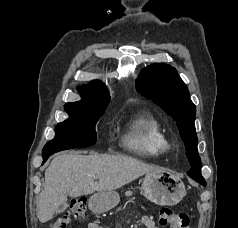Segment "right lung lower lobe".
I'll list each match as a JSON object with an SVG mask.
<instances>
[{"mask_svg":"<svg viewBox=\"0 0 238 228\" xmlns=\"http://www.w3.org/2000/svg\"><path fill=\"white\" fill-rule=\"evenodd\" d=\"M54 153H55V152L43 153V162H45V161L47 160V158H48L50 155L54 154Z\"/></svg>","mask_w":238,"mask_h":228,"instance_id":"1","label":"right lung lower lobe"}]
</instances>
